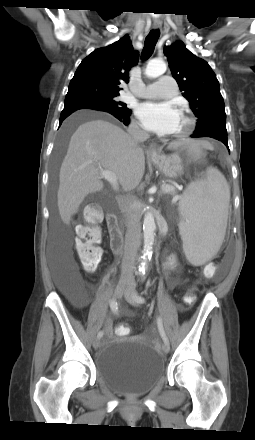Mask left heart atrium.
<instances>
[{
  "label": "left heart atrium",
  "mask_w": 255,
  "mask_h": 440,
  "mask_svg": "<svg viewBox=\"0 0 255 440\" xmlns=\"http://www.w3.org/2000/svg\"><path fill=\"white\" fill-rule=\"evenodd\" d=\"M143 127L151 132L167 135L176 132L180 113L169 102H145L136 109Z\"/></svg>",
  "instance_id": "39dd6f15"
}]
</instances>
